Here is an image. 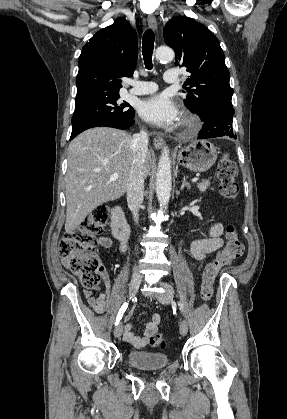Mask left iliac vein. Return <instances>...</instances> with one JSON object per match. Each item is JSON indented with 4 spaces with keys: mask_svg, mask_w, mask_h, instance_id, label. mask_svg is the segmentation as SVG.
Instances as JSON below:
<instances>
[{
    "mask_svg": "<svg viewBox=\"0 0 287 419\" xmlns=\"http://www.w3.org/2000/svg\"><path fill=\"white\" fill-rule=\"evenodd\" d=\"M160 285L165 289V292L158 295V300L160 303L164 305H168L172 303V295H173V289L172 287L165 282H161ZM188 332V324L186 320H182L180 323V334L182 336H185Z\"/></svg>",
    "mask_w": 287,
    "mask_h": 419,
    "instance_id": "1",
    "label": "left iliac vein"
}]
</instances>
